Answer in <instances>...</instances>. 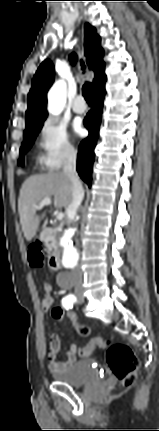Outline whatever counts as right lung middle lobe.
I'll list each match as a JSON object with an SVG mask.
<instances>
[{
    "instance_id": "1",
    "label": "right lung middle lobe",
    "mask_w": 159,
    "mask_h": 431,
    "mask_svg": "<svg viewBox=\"0 0 159 431\" xmlns=\"http://www.w3.org/2000/svg\"><path fill=\"white\" fill-rule=\"evenodd\" d=\"M43 123L38 124L32 128H29L25 130L24 132V141L22 143V146L20 148V158L18 160V164L23 166L24 165V154L30 149L32 146L37 134L42 128Z\"/></svg>"
}]
</instances>
